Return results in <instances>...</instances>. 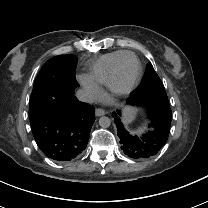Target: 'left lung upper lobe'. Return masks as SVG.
Returning a JSON list of instances; mask_svg holds the SVG:
<instances>
[{
    "instance_id": "1",
    "label": "left lung upper lobe",
    "mask_w": 208,
    "mask_h": 208,
    "mask_svg": "<svg viewBox=\"0 0 208 208\" xmlns=\"http://www.w3.org/2000/svg\"><path fill=\"white\" fill-rule=\"evenodd\" d=\"M131 95L140 98L156 99L169 104L164 85L151 64L147 69L145 78L142 79V83Z\"/></svg>"
}]
</instances>
